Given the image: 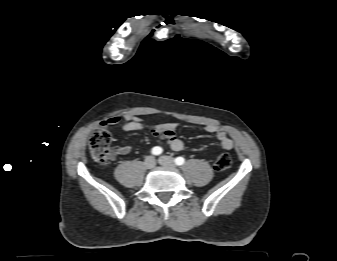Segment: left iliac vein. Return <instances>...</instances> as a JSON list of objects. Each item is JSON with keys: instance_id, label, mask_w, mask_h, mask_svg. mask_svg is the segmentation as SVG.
<instances>
[{"instance_id": "1", "label": "left iliac vein", "mask_w": 337, "mask_h": 261, "mask_svg": "<svg viewBox=\"0 0 337 261\" xmlns=\"http://www.w3.org/2000/svg\"><path fill=\"white\" fill-rule=\"evenodd\" d=\"M158 162L162 165V166H166V167H175V161L172 157L170 156H161L158 159Z\"/></svg>"}]
</instances>
